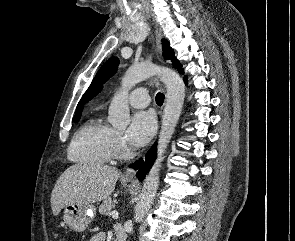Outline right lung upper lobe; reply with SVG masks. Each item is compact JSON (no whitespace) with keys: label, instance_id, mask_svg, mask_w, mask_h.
I'll use <instances>...</instances> for the list:
<instances>
[{"label":"right lung upper lobe","instance_id":"right-lung-upper-lobe-1","mask_svg":"<svg viewBox=\"0 0 295 241\" xmlns=\"http://www.w3.org/2000/svg\"><path fill=\"white\" fill-rule=\"evenodd\" d=\"M82 107H83V105H82V103H81V101H80L79 104H78V106H77V109H76L75 118L81 116Z\"/></svg>","mask_w":295,"mask_h":241}]
</instances>
